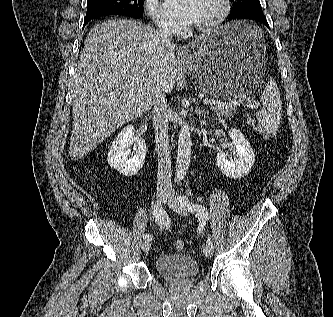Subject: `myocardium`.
<instances>
[{
	"label": "myocardium",
	"mask_w": 333,
	"mask_h": 317,
	"mask_svg": "<svg viewBox=\"0 0 333 317\" xmlns=\"http://www.w3.org/2000/svg\"><path fill=\"white\" fill-rule=\"evenodd\" d=\"M216 12L215 14L204 24L195 25L194 31L199 33H207L218 27L228 16L230 12L229 0H215Z\"/></svg>",
	"instance_id": "obj_1"
}]
</instances>
